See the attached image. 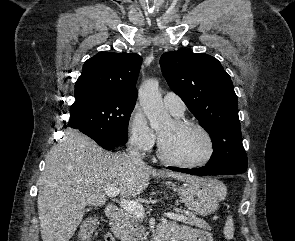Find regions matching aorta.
<instances>
[{
  "label": "aorta",
  "instance_id": "1",
  "mask_svg": "<svg viewBox=\"0 0 295 241\" xmlns=\"http://www.w3.org/2000/svg\"><path fill=\"white\" fill-rule=\"evenodd\" d=\"M138 97L151 128L159 130L172 122L171 116L164 109L157 79H148L143 82Z\"/></svg>",
  "mask_w": 295,
  "mask_h": 241
}]
</instances>
